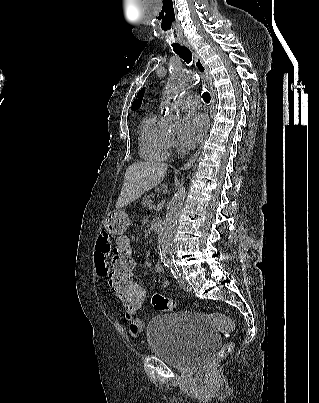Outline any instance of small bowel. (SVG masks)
<instances>
[{
	"label": "small bowel",
	"instance_id": "obj_1",
	"mask_svg": "<svg viewBox=\"0 0 319 403\" xmlns=\"http://www.w3.org/2000/svg\"><path fill=\"white\" fill-rule=\"evenodd\" d=\"M117 252H121L120 249ZM110 253V237L107 232L102 231L96 242V250L94 255V262L97 268V272L100 277H104V287H113V264L111 263ZM155 271L161 273L163 266L156 264ZM170 286L169 281L165 280L160 283L159 288L166 290ZM114 292V291H112ZM145 299L147 297V291H144ZM140 313H124L125 320L128 323V332L132 337H139L143 331L144 323L139 317Z\"/></svg>",
	"mask_w": 319,
	"mask_h": 403
}]
</instances>
